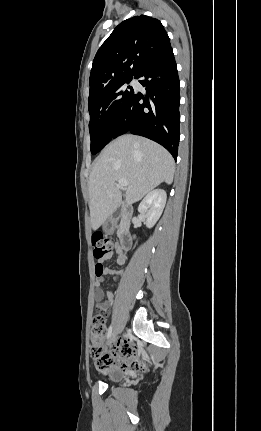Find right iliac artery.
Masks as SVG:
<instances>
[{
	"label": "right iliac artery",
	"instance_id": "1",
	"mask_svg": "<svg viewBox=\"0 0 261 431\" xmlns=\"http://www.w3.org/2000/svg\"><path fill=\"white\" fill-rule=\"evenodd\" d=\"M112 334V325H110L108 332H107V338L109 339L111 337Z\"/></svg>",
	"mask_w": 261,
	"mask_h": 431
}]
</instances>
